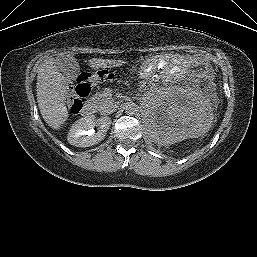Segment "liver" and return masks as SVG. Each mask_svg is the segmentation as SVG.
I'll use <instances>...</instances> for the list:
<instances>
[{
    "label": "liver",
    "instance_id": "1",
    "mask_svg": "<svg viewBox=\"0 0 257 257\" xmlns=\"http://www.w3.org/2000/svg\"><path fill=\"white\" fill-rule=\"evenodd\" d=\"M124 63L121 60L92 58L90 67L94 69L116 67ZM67 82L57 66L55 58L46 60L39 66L37 75V101L44 121L53 129H60L68 119Z\"/></svg>",
    "mask_w": 257,
    "mask_h": 257
}]
</instances>
